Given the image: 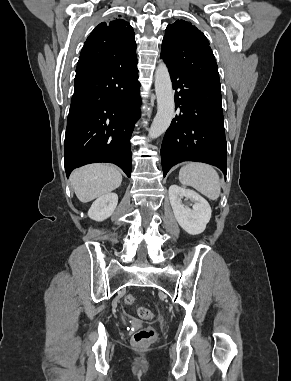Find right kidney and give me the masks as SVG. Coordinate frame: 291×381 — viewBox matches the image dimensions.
<instances>
[{"mask_svg": "<svg viewBox=\"0 0 291 381\" xmlns=\"http://www.w3.org/2000/svg\"><path fill=\"white\" fill-rule=\"evenodd\" d=\"M118 195L108 193L97 198L91 205L88 216L95 221H104L109 218L116 209Z\"/></svg>", "mask_w": 291, "mask_h": 381, "instance_id": "ca27d5eb", "label": "right kidney"}]
</instances>
